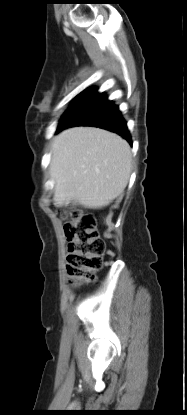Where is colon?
<instances>
[{
  "label": "colon",
  "instance_id": "1",
  "mask_svg": "<svg viewBox=\"0 0 187 415\" xmlns=\"http://www.w3.org/2000/svg\"><path fill=\"white\" fill-rule=\"evenodd\" d=\"M68 241L66 269L73 283L92 281L94 273L103 266L104 241L96 230L95 217L72 209L64 214Z\"/></svg>",
  "mask_w": 187,
  "mask_h": 415
}]
</instances>
